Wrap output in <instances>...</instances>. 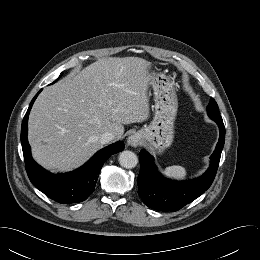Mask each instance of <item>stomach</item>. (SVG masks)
<instances>
[{
    "label": "stomach",
    "mask_w": 260,
    "mask_h": 260,
    "mask_svg": "<svg viewBox=\"0 0 260 260\" xmlns=\"http://www.w3.org/2000/svg\"><path fill=\"white\" fill-rule=\"evenodd\" d=\"M149 85L154 93V117L149 126L139 130L142 143L153 153L161 154L174 139V121L178 100L174 82L164 73L150 72Z\"/></svg>",
    "instance_id": "stomach-1"
}]
</instances>
